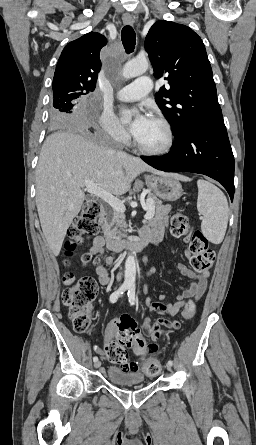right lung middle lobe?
Wrapping results in <instances>:
<instances>
[{"instance_id":"dd1d6c3e","label":"right lung middle lobe","mask_w":256,"mask_h":445,"mask_svg":"<svg viewBox=\"0 0 256 445\" xmlns=\"http://www.w3.org/2000/svg\"><path fill=\"white\" fill-rule=\"evenodd\" d=\"M83 96L78 92H61L53 94V106L50 110L51 122L54 125L71 124L75 120L77 100Z\"/></svg>"}]
</instances>
